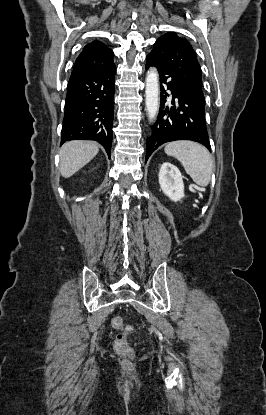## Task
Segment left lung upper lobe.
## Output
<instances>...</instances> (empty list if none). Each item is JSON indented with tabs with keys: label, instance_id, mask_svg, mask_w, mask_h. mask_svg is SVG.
Wrapping results in <instances>:
<instances>
[{
	"label": "left lung upper lobe",
	"instance_id": "obj_1",
	"mask_svg": "<svg viewBox=\"0 0 266 415\" xmlns=\"http://www.w3.org/2000/svg\"><path fill=\"white\" fill-rule=\"evenodd\" d=\"M150 54L196 102L205 107L202 71L194 49L185 38L177 33H166L158 38Z\"/></svg>",
	"mask_w": 266,
	"mask_h": 415
}]
</instances>
